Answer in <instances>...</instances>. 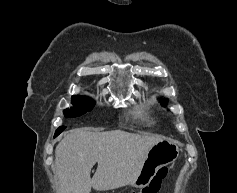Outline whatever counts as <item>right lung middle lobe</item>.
Returning a JSON list of instances; mask_svg holds the SVG:
<instances>
[{
    "instance_id": "right-lung-middle-lobe-1",
    "label": "right lung middle lobe",
    "mask_w": 237,
    "mask_h": 193,
    "mask_svg": "<svg viewBox=\"0 0 237 193\" xmlns=\"http://www.w3.org/2000/svg\"><path fill=\"white\" fill-rule=\"evenodd\" d=\"M72 105L73 107L71 109L67 108L63 111L64 116L67 118L78 117L91 111L95 105V101L86 96L73 95Z\"/></svg>"
}]
</instances>
